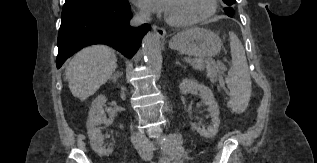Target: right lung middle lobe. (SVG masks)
<instances>
[{"instance_id":"dd1d6c3e","label":"right lung middle lobe","mask_w":317,"mask_h":163,"mask_svg":"<svg viewBox=\"0 0 317 163\" xmlns=\"http://www.w3.org/2000/svg\"><path fill=\"white\" fill-rule=\"evenodd\" d=\"M127 0H66L61 19L71 18L98 8L112 7Z\"/></svg>"}]
</instances>
